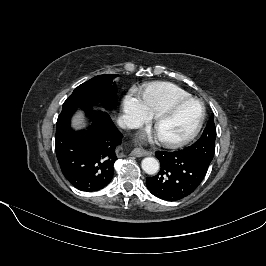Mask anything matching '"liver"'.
I'll return each mask as SVG.
<instances>
[{
	"label": "liver",
	"mask_w": 266,
	"mask_h": 266,
	"mask_svg": "<svg viewBox=\"0 0 266 266\" xmlns=\"http://www.w3.org/2000/svg\"><path fill=\"white\" fill-rule=\"evenodd\" d=\"M72 127L76 130L85 127L81 113H78L77 115L74 116L72 121Z\"/></svg>",
	"instance_id": "liver-1"
}]
</instances>
